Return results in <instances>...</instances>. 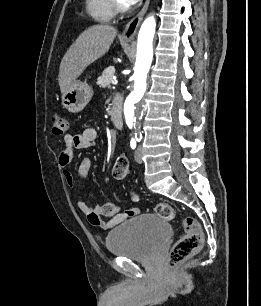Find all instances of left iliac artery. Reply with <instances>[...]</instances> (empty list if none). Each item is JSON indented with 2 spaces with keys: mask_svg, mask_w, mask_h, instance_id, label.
<instances>
[{
  "mask_svg": "<svg viewBox=\"0 0 261 306\" xmlns=\"http://www.w3.org/2000/svg\"><path fill=\"white\" fill-rule=\"evenodd\" d=\"M135 138H136V140L137 141H140L141 139H142V136L141 135H137L136 133H135ZM130 146H131V148L132 149H135V147H136V141H135V139H131V141H130Z\"/></svg>",
  "mask_w": 261,
  "mask_h": 306,
  "instance_id": "left-iliac-artery-1",
  "label": "left iliac artery"
}]
</instances>
